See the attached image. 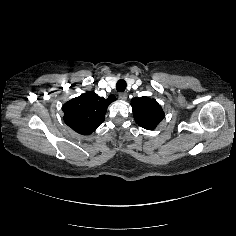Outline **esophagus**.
Returning <instances> with one entry per match:
<instances>
[{"label": "esophagus", "instance_id": "esophagus-1", "mask_svg": "<svg viewBox=\"0 0 236 236\" xmlns=\"http://www.w3.org/2000/svg\"><path fill=\"white\" fill-rule=\"evenodd\" d=\"M119 98L121 100H126L127 99V93L126 92H120L119 93Z\"/></svg>", "mask_w": 236, "mask_h": 236}]
</instances>
